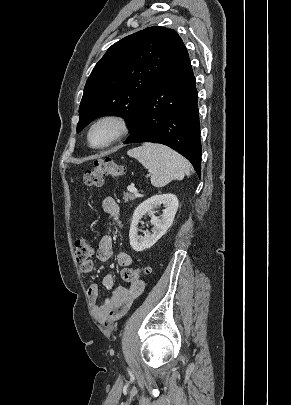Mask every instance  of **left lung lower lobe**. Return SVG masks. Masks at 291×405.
<instances>
[{
	"label": "left lung lower lobe",
	"instance_id": "obj_1",
	"mask_svg": "<svg viewBox=\"0 0 291 405\" xmlns=\"http://www.w3.org/2000/svg\"><path fill=\"white\" fill-rule=\"evenodd\" d=\"M195 82L184 46L147 93L137 126L124 143L164 144L186 157L201 176Z\"/></svg>",
	"mask_w": 291,
	"mask_h": 405
}]
</instances>
